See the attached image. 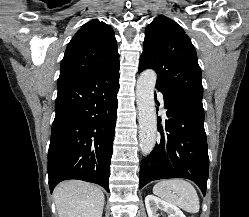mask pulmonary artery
<instances>
[{"mask_svg":"<svg viewBox=\"0 0 249 217\" xmlns=\"http://www.w3.org/2000/svg\"><path fill=\"white\" fill-rule=\"evenodd\" d=\"M159 99H160V101H161V104H164V101H163V95H162V93H161V92L159 93Z\"/></svg>","mask_w":249,"mask_h":217,"instance_id":"obj_1","label":"pulmonary artery"}]
</instances>
